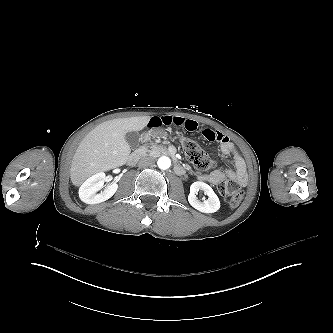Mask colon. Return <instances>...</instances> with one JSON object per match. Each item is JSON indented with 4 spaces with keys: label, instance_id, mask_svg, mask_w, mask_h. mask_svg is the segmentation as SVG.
Returning <instances> with one entry per match:
<instances>
[{
    "label": "colon",
    "instance_id": "1",
    "mask_svg": "<svg viewBox=\"0 0 333 333\" xmlns=\"http://www.w3.org/2000/svg\"><path fill=\"white\" fill-rule=\"evenodd\" d=\"M182 150L196 168L208 172L213 168V161L194 139L185 138L181 142ZM219 193L231 207H237L243 199V191L231 182H221Z\"/></svg>",
    "mask_w": 333,
    "mask_h": 333
}]
</instances>
